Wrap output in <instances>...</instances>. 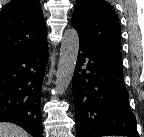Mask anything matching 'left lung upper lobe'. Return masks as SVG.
<instances>
[{"mask_svg":"<svg viewBox=\"0 0 144 137\" xmlns=\"http://www.w3.org/2000/svg\"><path fill=\"white\" fill-rule=\"evenodd\" d=\"M71 22L81 41L98 52L122 60L121 27L112 5L104 0H78Z\"/></svg>","mask_w":144,"mask_h":137,"instance_id":"1","label":"left lung upper lobe"}]
</instances>
